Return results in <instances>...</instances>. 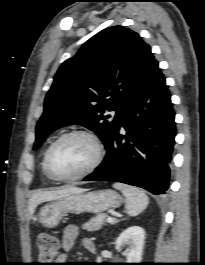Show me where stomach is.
Wrapping results in <instances>:
<instances>
[{
	"mask_svg": "<svg viewBox=\"0 0 205 265\" xmlns=\"http://www.w3.org/2000/svg\"><path fill=\"white\" fill-rule=\"evenodd\" d=\"M121 203V196L110 189L74 193L44 205L38 220L42 226L54 228L66 213L100 214L110 208L119 207Z\"/></svg>",
	"mask_w": 205,
	"mask_h": 265,
	"instance_id": "obj_1",
	"label": "stomach"
}]
</instances>
